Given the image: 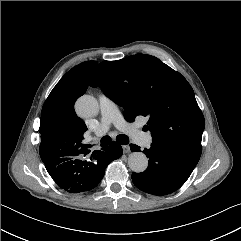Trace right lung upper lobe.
<instances>
[{"instance_id":"obj_1","label":"right lung upper lobe","mask_w":241,"mask_h":241,"mask_svg":"<svg viewBox=\"0 0 241 241\" xmlns=\"http://www.w3.org/2000/svg\"><path fill=\"white\" fill-rule=\"evenodd\" d=\"M96 61L83 62L70 71L53 88L46 99L40 119V155L65 156L87 149L82 144L87 127L74 111L75 101L85 93Z\"/></svg>"}]
</instances>
